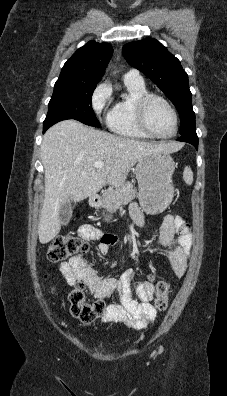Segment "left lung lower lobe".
I'll list each match as a JSON object with an SVG mask.
<instances>
[{
    "label": "left lung lower lobe",
    "instance_id": "0a47b994",
    "mask_svg": "<svg viewBox=\"0 0 227 396\" xmlns=\"http://www.w3.org/2000/svg\"><path fill=\"white\" fill-rule=\"evenodd\" d=\"M178 141L187 142L195 146L198 149V137L196 134V128L189 129L188 131L181 134Z\"/></svg>",
    "mask_w": 227,
    "mask_h": 396
}]
</instances>
